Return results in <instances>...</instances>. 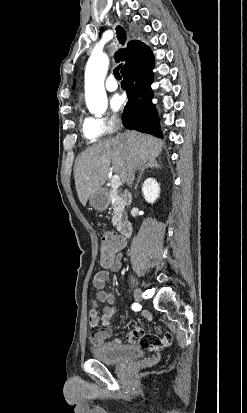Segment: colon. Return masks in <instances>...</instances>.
<instances>
[{
  "mask_svg": "<svg viewBox=\"0 0 247 413\" xmlns=\"http://www.w3.org/2000/svg\"><path fill=\"white\" fill-rule=\"evenodd\" d=\"M122 254L121 240L114 235L104 234L100 245L96 247V260L102 266H107L109 261H115L116 256Z\"/></svg>",
  "mask_w": 247,
  "mask_h": 413,
  "instance_id": "obj_1",
  "label": "colon"
}]
</instances>
